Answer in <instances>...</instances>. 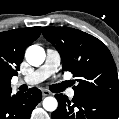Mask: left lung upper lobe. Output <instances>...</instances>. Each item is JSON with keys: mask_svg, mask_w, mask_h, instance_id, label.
Here are the masks:
<instances>
[{"mask_svg": "<svg viewBox=\"0 0 119 119\" xmlns=\"http://www.w3.org/2000/svg\"><path fill=\"white\" fill-rule=\"evenodd\" d=\"M42 33L60 53L63 70L77 78L75 93L119 99L116 65L99 39L69 27H44Z\"/></svg>", "mask_w": 119, "mask_h": 119, "instance_id": "5c2ea615", "label": "left lung upper lobe"}]
</instances>
